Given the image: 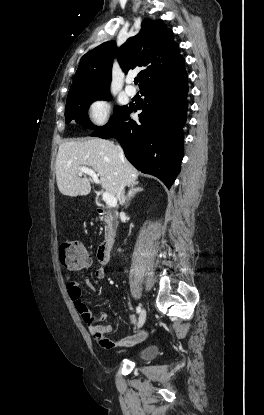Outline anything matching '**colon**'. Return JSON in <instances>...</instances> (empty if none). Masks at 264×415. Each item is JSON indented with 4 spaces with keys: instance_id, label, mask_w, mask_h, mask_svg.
Here are the masks:
<instances>
[{
    "instance_id": "1",
    "label": "colon",
    "mask_w": 264,
    "mask_h": 415,
    "mask_svg": "<svg viewBox=\"0 0 264 415\" xmlns=\"http://www.w3.org/2000/svg\"><path fill=\"white\" fill-rule=\"evenodd\" d=\"M59 261L63 268L72 271L88 265L90 258L80 242L68 240L61 244Z\"/></svg>"
}]
</instances>
